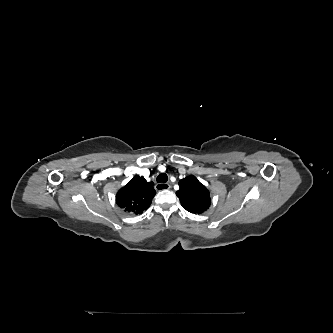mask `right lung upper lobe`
<instances>
[{"instance_id": "obj_1", "label": "right lung upper lobe", "mask_w": 333, "mask_h": 333, "mask_svg": "<svg viewBox=\"0 0 333 333\" xmlns=\"http://www.w3.org/2000/svg\"><path fill=\"white\" fill-rule=\"evenodd\" d=\"M153 182L144 177H133L116 195V203L129 214H141L147 209L155 196Z\"/></svg>"}]
</instances>
